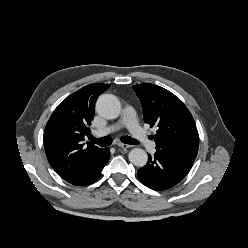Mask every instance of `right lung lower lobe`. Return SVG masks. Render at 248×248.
<instances>
[{"instance_id": "right-lung-lower-lobe-1", "label": "right lung lower lobe", "mask_w": 248, "mask_h": 248, "mask_svg": "<svg viewBox=\"0 0 248 248\" xmlns=\"http://www.w3.org/2000/svg\"><path fill=\"white\" fill-rule=\"evenodd\" d=\"M110 157V151L108 148L102 149L96 154L85 169L75 178L67 181L73 185L86 186L96 181L101 176V171L107 164Z\"/></svg>"}]
</instances>
